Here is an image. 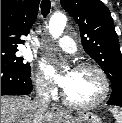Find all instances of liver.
I'll use <instances>...</instances> for the list:
<instances>
[{
  "mask_svg": "<svg viewBox=\"0 0 122 123\" xmlns=\"http://www.w3.org/2000/svg\"><path fill=\"white\" fill-rule=\"evenodd\" d=\"M51 119L47 112L37 116L34 100L28 96L1 97V123H50Z\"/></svg>",
  "mask_w": 122,
  "mask_h": 123,
  "instance_id": "6515ba94",
  "label": "liver"
}]
</instances>
